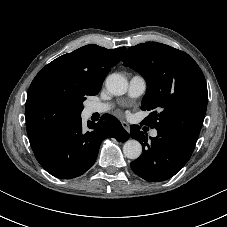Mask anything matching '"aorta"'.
<instances>
[{
	"label": "aorta",
	"mask_w": 227,
	"mask_h": 227,
	"mask_svg": "<svg viewBox=\"0 0 227 227\" xmlns=\"http://www.w3.org/2000/svg\"><path fill=\"white\" fill-rule=\"evenodd\" d=\"M106 89L108 92L115 96H121L126 93L128 88L127 80L119 74H111L105 81ZM123 153L129 159H137L142 153V145L134 139L125 142L123 146Z\"/></svg>",
	"instance_id": "1"
}]
</instances>
